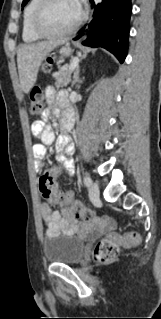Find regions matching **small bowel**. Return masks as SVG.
<instances>
[{
	"instance_id": "small-bowel-1",
	"label": "small bowel",
	"mask_w": 161,
	"mask_h": 319,
	"mask_svg": "<svg viewBox=\"0 0 161 319\" xmlns=\"http://www.w3.org/2000/svg\"><path fill=\"white\" fill-rule=\"evenodd\" d=\"M45 96L48 107L43 115V118H47L50 114H58L59 111L52 107L53 104H58L63 108V120L70 119L72 121V111L68 107L67 97L62 92H57L52 86H49L45 90ZM31 136L33 139H40L41 143H34L32 145L33 154L36 158V170L40 171L47 168V165L43 161L46 154L45 146L51 145L55 142V151L57 153L58 160L61 162L65 169L67 176L73 173V161L70 157L72 153L71 138L67 135L61 136L56 140L55 133L49 126H45L43 120H36L31 125ZM64 152V153H62ZM54 174H57V169L53 167L48 168ZM71 201H77L73 192L68 191L64 193V198L61 202L55 203L60 207L61 211H53L51 204L43 202L40 205V213L42 219L47 227L48 234H57L65 232L68 234L75 232L92 233L94 235H100L107 231L114 229V224L108 217L96 216L89 221L78 222L76 220H68L67 206Z\"/></svg>"
}]
</instances>
